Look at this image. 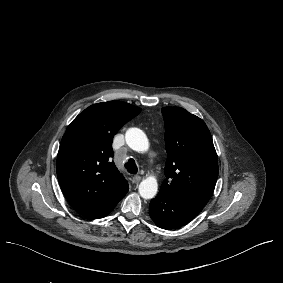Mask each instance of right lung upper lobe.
Instances as JSON below:
<instances>
[{
    "label": "right lung upper lobe",
    "instance_id": "obj_1",
    "mask_svg": "<svg viewBox=\"0 0 283 283\" xmlns=\"http://www.w3.org/2000/svg\"><path fill=\"white\" fill-rule=\"evenodd\" d=\"M141 109L126 102L94 104L67 128L57 156L62 191L82 215L102 218L126 195L128 182L112 162V140Z\"/></svg>",
    "mask_w": 283,
    "mask_h": 283
}]
</instances>
